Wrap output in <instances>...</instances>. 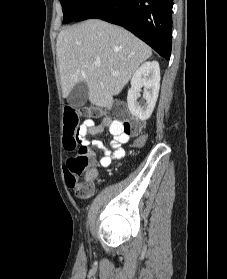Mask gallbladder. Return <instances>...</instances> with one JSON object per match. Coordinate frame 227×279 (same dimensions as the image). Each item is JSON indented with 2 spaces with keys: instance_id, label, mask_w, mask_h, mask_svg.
<instances>
[{
  "instance_id": "gallbladder-1",
  "label": "gallbladder",
  "mask_w": 227,
  "mask_h": 279,
  "mask_svg": "<svg viewBox=\"0 0 227 279\" xmlns=\"http://www.w3.org/2000/svg\"><path fill=\"white\" fill-rule=\"evenodd\" d=\"M89 89L85 81L77 83L67 97L68 105L74 109L82 107L88 98Z\"/></svg>"
}]
</instances>
